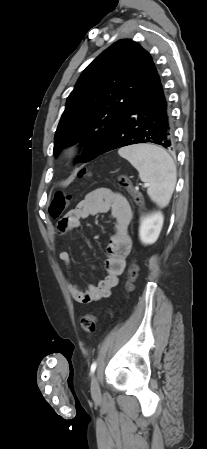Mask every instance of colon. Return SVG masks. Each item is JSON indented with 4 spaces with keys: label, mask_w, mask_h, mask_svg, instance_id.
<instances>
[{
    "label": "colon",
    "mask_w": 207,
    "mask_h": 449,
    "mask_svg": "<svg viewBox=\"0 0 207 449\" xmlns=\"http://www.w3.org/2000/svg\"><path fill=\"white\" fill-rule=\"evenodd\" d=\"M87 175V171L82 169L78 176L79 178H83ZM118 185L124 188L130 197L134 200V202L139 206H143V198L141 194L133 187L129 178L125 175H120L117 179ZM72 199V196L69 194H64L62 192H57L52 200V203L49 207V214L53 219H58L64 213V211L69 206V203ZM138 275V265L135 261L129 267L128 270V281L126 284L127 290H131L133 287V282L137 278ZM112 314L110 313L109 316ZM97 316L92 314L84 315L81 320V328L83 332L90 336L95 332L96 329Z\"/></svg>",
    "instance_id": "1"
}]
</instances>
